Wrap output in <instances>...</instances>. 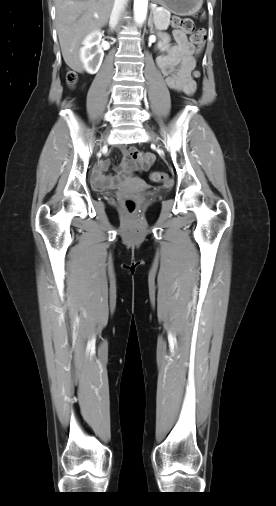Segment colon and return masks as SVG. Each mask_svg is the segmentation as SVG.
Here are the masks:
<instances>
[{
  "instance_id": "5ec220e1",
  "label": "colon",
  "mask_w": 276,
  "mask_h": 506,
  "mask_svg": "<svg viewBox=\"0 0 276 506\" xmlns=\"http://www.w3.org/2000/svg\"><path fill=\"white\" fill-rule=\"evenodd\" d=\"M173 25L181 32L190 35L191 41L196 48V53L199 54L203 49L206 42V33L202 29L196 30L194 23L190 18L187 17H175L173 19ZM198 75L197 73L195 74ZM69 85L73 86L77 81V75L75 72H68L66 76ZM151 180L158 183L168 184V178L166 174L154 172L151 174ZM124 207L127 212L134 213L137 209V203L133 199H126Z\"/></svg>"
}]
</instances>
